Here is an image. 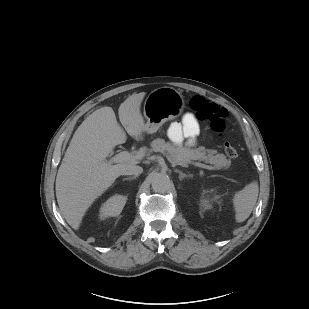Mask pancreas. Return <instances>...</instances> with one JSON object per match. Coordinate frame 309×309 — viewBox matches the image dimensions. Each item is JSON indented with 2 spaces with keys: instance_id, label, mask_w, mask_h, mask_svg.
<instances>
[{
  "instance_id": "obj_1",
  "label": "pancreas",
  "mask_w": 309,
  "mask_h": 309,
  "mask_svg": "<svg viewBox=\"0 0 309 309\" xmlns=\"http://www.w3.org/2000/svg\"><path fill=\"white\" fill-rule=\"evenodd\" d=\"M154 152L163 153L170 161L183 165L191 160H200L213 164L216 169H228L231 162L226 159L224 154H215L214 151L204 148L189 149L182 146H176L163 139H155L151 143Z\"/></svg>"
}]
</instances>
